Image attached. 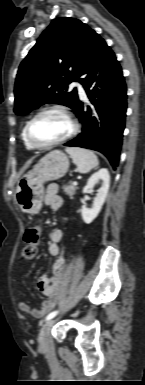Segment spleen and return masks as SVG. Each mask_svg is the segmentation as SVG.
Listing matches in <instances>:
<instances>
[{"mask_svg":"<svg viewBox=\"0 0 145 385\" xmlns=\"http://www.w3.org/2000/svg\"><path fill=\"white\" fill-rule=\"evenodd\" d=\"M65 150L71 156L79 173H88L99 163L98 157L91 150L78 147H67Z\"/></svg>","mask_w":145,"mask_h":385,"instance_id":"spleen-1","label":"spleen"}]
</instances>
